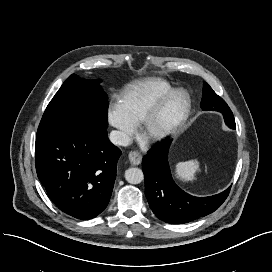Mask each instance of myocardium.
<instances>
[{
	"instance_id": "1",
	"label": "myocardium",
	"mask_w": 272,
	"mask_h": 272,
	"mask_svg": "<svg viewBox=\"0 0 272 272\" xmlns=\"http://www.w3.org/2000/svg\"><path fill=\"white\" fill-rule=\"evenodd\" d=\"M190 109V98L185 90H172L161 99L145 119L144 136L148 140H162L176 132L186 121ZM173 110L174 117L166 114Z\"/></svg>"
}]
</instances>
